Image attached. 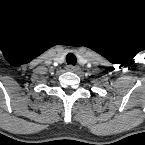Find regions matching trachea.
Wrapping results in <instances>:
<instances>
[{
    "label": "trachea",
    "mask_w": 145,
    "mask_h": 145,
    "mask_svg": "<svg viewBox=\"0 0 145 145\" xmlns=\"http://www.w3.org/2000/svg\"><path fill=\"white\" fill-rule=\"evenodd\" d=\"M66 62H67V64H71V65L75 66L77 63V58L74 54L69 53L66 56Z\"/></svg>",
    "instance_id": "obj_1"
}]
</instances>
